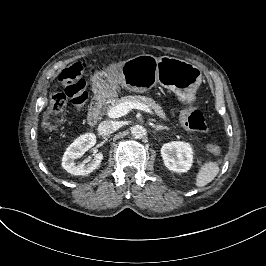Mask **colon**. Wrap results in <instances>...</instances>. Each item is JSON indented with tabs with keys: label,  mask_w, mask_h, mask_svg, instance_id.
Masks as SVG:
<instances>
[{
	"label": "colon",
	"mask_w": 266,
	"mask_h": 266,
	"mask_svg": "<svg viewBox=\"0 0 266 266\" xmlns=\"http://www.w3.org/2000/svg\"><path fill=\"white\" fill-rule=\"evenodd\" d=\"M85 69V61L79 59L60 72L58 79L60 84L64 85V88L51 96L49 108L42 122L45 133L51 134L58 129L67 112L68 102L75 106H80L84 102L85 92L83 88L85 80L83 73ZM183 124L190 130H196L203 134L208 133L204 115L199 110H194L185 117ZM207 150L212 154H219L221 151L220 146L216 143L208 144Z\"/></svg>",
	"instance_id": "colon-1"
}]
</instances>
